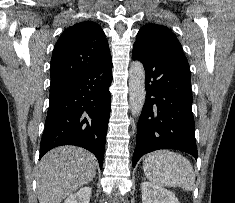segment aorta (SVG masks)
<instances>
[{
    "instance_id": "aorta-1",
    "label": "aorta",
    "mask_w": 235,
    "mask_h": 203,
    "mask_svg": "<svg viewBox=\"0 0 235 203\" xmlns=\"http://www.w3.org/2000/svg\"><path fill=\"white\" fill-rule=\"evenodd\" d=\"M129 96L131 113L139 118L146 98L145 70L139 61H134L129 68Z\"/></svg>"
}]
</instances>
